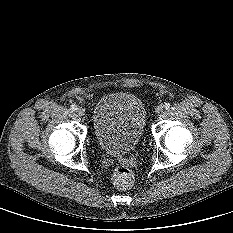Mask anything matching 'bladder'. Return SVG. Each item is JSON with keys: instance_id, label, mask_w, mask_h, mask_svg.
Wrapping results in <instances>:
<instances>
[{"instance_id": "bladder-1", "label": "bladder", "mask_w": 233, "mask_h": 233, "mask_svg": "<svg viewBox=\"0 0 233 233\" xmlns=\"http://www.w3.org/2000/svg\"><path fill=\"white\" fill-rule=\"evenodd\" d=\"M92 122L101 149L110 155H124L135 148L144 133L145 106L130 93L106 94L96 102Z\"/></svg>"}]
</instances>
